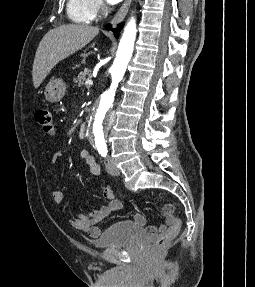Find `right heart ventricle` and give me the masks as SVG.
<instances>
[{"label":"right heart ventricle","mask_w":255,"mask_h":287,"mask_svg":"<svg viewBox=\"0 0 255 287\" xmlns=\"http://www.w3.org/2000/svg\"><path fill=\"white\" fill-rule=\"evenodd\" d=\"M85 33H101V32H85ZM86 39H96V38H86ZM112 39V38H109ZM102 48H119V47H102Z\"/></svg>","instance_id":"right-heart-ventricle-1"}]
</instances>
